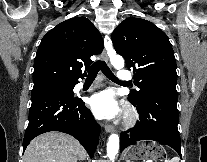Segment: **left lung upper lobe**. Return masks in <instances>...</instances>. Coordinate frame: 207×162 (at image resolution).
Listing matches in <instances>:
<instances>
[{
  "mask_svg": "<svg viewBox=\"0 0 207 162\" xmlns=\"http://www.w3.org/2000/svg\"><path fill=\"white\" fill-rule=\"evenodd\" d=\"M115 50L134 70L139 91L128 95L133 103L151 94L177 95L176 60L167 35L152 22L141 18L125 19L112 33Z\"/></svg>",
  "mask_w": 207,
  "mask_h": 162,
  "instance_id": "obj_1",
  "label": "left lung upper lobe"
}]
</instances>
